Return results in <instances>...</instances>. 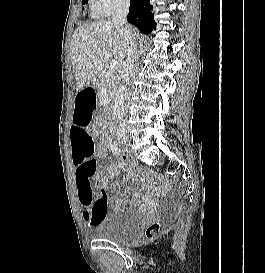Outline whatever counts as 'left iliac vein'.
I'll use <instances>...</instances> for the list:
<instances>
[{"label":"left iliac vein","mask_w":265,"mask_h":273,"mask_svg":"<svg viewBox=\"0 0 265 273\" xmlns=\"http://www.w3.org/2000/svg\"><path fill=\"white\" fill-rule=\"evenodd\" d=\"M122 142H123V143H125V142H126V140H123Z\"/></svg>","instance_id":"4c4485c4"}]
</instances>
